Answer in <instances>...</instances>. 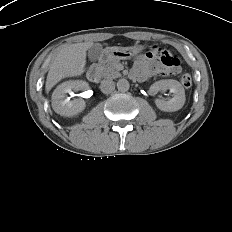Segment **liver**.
<instances>
[{
  "label": "liver",
  "mask_w": 232,
  "mask_h": 232,
  "mask_svg": "<svg viewBox=\"0 0 232 232\" xmlns=\"http://www.w3.org/2000/svg\"><path fill=\"white\" fill-rule=\"evenodd\" d=\"M92 45L91 42L66 45L58 52L47 74L46 92H49L62 79L80 76L83 73L86 51Z\"/></svg>",
  "instance_id": "liver-1"
}]
</instances>
